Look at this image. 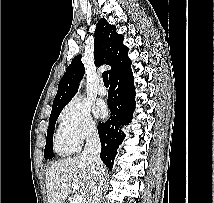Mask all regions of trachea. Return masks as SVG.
Instances as JSON below:
<instances>
[{
  "instance_id": "trachea-1",
  "label": "trachea",
  "mask_w": 214,
  "mask_h": 203,
  "mask_svg": "<svg viewBox=\"0 0 214 203\" xmlns=\"http://www.w3.org/2000/svg\"><path fill=\"white\" fill-rule=\"evenodd\" d=\"M102 77H103L104 85L108 86L109 85L108 73L107 72H103Z\"/></svg>"
}]
</instances>
